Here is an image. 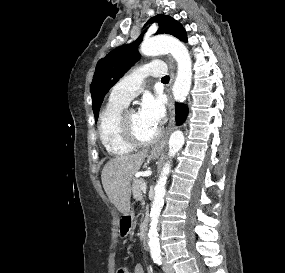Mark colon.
Instances as JSON below:
<instances>
[{
    "instance_id": "1",
    "label": "colon",
    "mask_w": 285,
    "mask_h": 273,
    "mask_svg": "<svg viewBox=\"0 0 285 273\" xmlns=\"http://www.w3.org/2000/svg\"><path fill=\"white\" fill-rule=\"evenodd\" d=\"M117 273H128V270L124 267H121L117 270Z\"/></svg>"
}]
</instances>
